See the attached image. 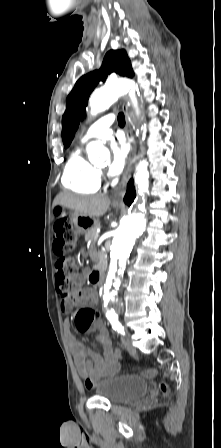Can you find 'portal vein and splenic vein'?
I'll return each mask as SVG.
<instances>
[{
  "mask_svg": "<svg viewBox=\"0 0 221 448\" xmlns=\"http://www.w3.org/2000/svg\"><path fill=\"white\" fill-rule=\"evenodd\" d=\"M98 237H99V233L97 232L95 238L97 239Z\"/></svg>",
  "mask_w": 221,
  "mask_h": 448,
  "instance_id": "portal-vein-and-splenic-vein-1",
  "label": "portal vein and splenic vein"
}]
</instances>
